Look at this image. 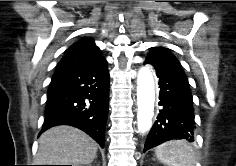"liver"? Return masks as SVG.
Here are the masks:
<instances>
[{
  "label": "liver",
  "mask_w": 236,
  "mask_h": 166,
  "mask_svg": "<svg viewBox=\"0 0 236 166\" xmlns=\"http://www.w3.org/2000/svg\"><path fill=\"white\" fill-rule=\"evenodd\" d=\"M97 143L71 126H56L39 138L38 165H89L97 153Z\"/></svg>",
  "instance_id": "6515ba94"
}]
</instances>
